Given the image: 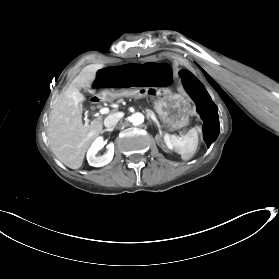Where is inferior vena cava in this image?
Masks as SVG:
<instances>
[{
	"label": "inferior vena cava",
	"instance_id": "602c4592",
	"mask_svg": "<svg viewBox=\"0 0 279 279\" xmlns=\"http://www.w3.org/2000/svg\"><path fill=\"white\" fill-rule=\"evenodd\" d=\"M123 113H114L112 115H109L105 120H104V124L106 127H111L113 125H116V123L118 122V120L123 116ZM115 127V126H113Z\"/></svg>",
	"mask_w": 279,
	"mask_h": 279
}]
</instances>
